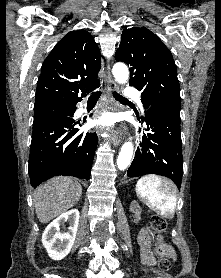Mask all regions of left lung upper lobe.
Returning <instances> with one entry per match:
<instances>
[{
	"instance_id": "1",
	"label": "left lung upper lobe",
	"mask_w": 221,
	"mask_h": 278,
	"mask_svg": "<svg viewBox=\"0 0 221 278\" xmlns=\"http://www.w3.org/2000/svg\"><path fill=\"white\" fill-rule=\"evenodd\" d=\"M115 59L130 66V85L141 91L145 110L162 106L180 111V89L174 59L154 33L145 27L124 29Z\"/></svg>"
}]
</instances>
